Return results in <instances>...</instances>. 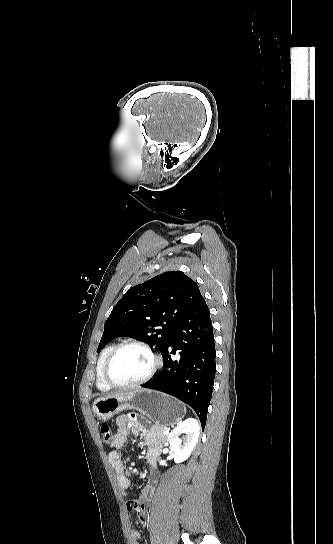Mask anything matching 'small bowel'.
I'll list each match as a JSON object with an SVG mask.
<instances>
[{
	"mask_svg": "<svg viewBox=\"0 0 333 544\" xmlns=\"http://www.w3.org/2000/svg\"><path fill=\"white\" fill-rule=\"evenodd\" d=\"M116 422L118 429L111 443L113 450L108 454V460L115 470L117 482L123 492H126L131 485L130 474L124 467L120 455V451L127 441L128 434L130 433L134 436L142 435L146 444L149 446V450L145 458L146 462L150 466L147 482L142 488L141 494L137 499L126 501L127 509L130 510L135 508L139 522L141 524H145L147 519L148 505L159 481V472L156 467V461L160 453V448L156 436L151 430L146 429L137 417L121 415L117 418ZM140 538V534L137 531L132 530V544H140Z\"/></svg>",
	"mask_w": 333,
	"mask_h": 544,
	"instance_id": "obj_1",
	"label": "small bowel"
}]
</instances>
